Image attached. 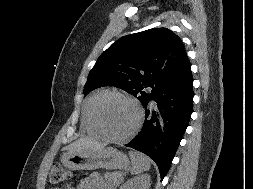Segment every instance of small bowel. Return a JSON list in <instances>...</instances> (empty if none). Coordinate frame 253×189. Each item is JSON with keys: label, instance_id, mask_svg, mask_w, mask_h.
Segmentation results:
<instances>
[{"label": "small bowel", "instance_id": "obj_1", "mask_svg": "<svg viewBox=\"0 0 253 189\" xmlns=\"http://www.w3.org/2000/svg\"><path fill=\"white\" fill-rule=\"evenodd\" d=\"M66 189H106V186L102 177L99 174H92L89 177L83 179L76 188L69 187Z\"/></svg>", "mask_w": 253, "mask_h": 189}]
</instances>
